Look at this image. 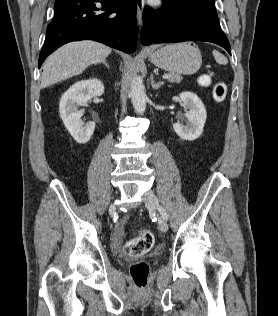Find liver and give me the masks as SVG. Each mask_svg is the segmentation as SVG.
I'll return each instance as SVG.
<instances>
[{
  "instance_id": "6515ba94",
  "label": "liver",
  "mask_w": 278,
  "mask_h": 316,
  "mask_svg": "<svg viewBox=\"0 0 278 316\" xmlns=\"http://www.w3.org/2000/svg\"><path fill=\"white\" fill-rule=\"evenodd\" d=\"M110 53L108 46L91 40L62 46L45 61L41 88L81 74L88 66L102 62Z\"/></svg>"
}]
</instances>
